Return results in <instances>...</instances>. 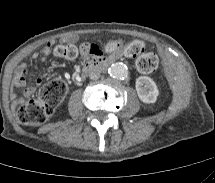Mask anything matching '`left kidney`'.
<instances>
[{"label":"left kidney","mask_w":215,"mask_h":183,"mask_svg":"<svg viewBox=\"0 0 215 183\" xmlns=\"http://www.w3.org/2000/svg\"><path fill=\"white\" fill-rule=\"evenodd\" d=\"M136 91L139 99L147 104L155 103L159 90L155 82L147 76H140L136 79Z\"/></svg>","instance_id":"left-kidney-1"}]
</instances>
